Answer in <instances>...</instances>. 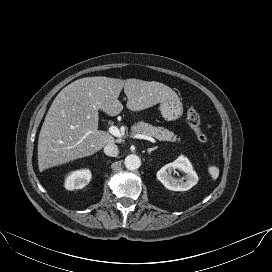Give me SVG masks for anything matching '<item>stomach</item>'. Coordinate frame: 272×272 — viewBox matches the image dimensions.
<instances>
[{
    "label": "stomach",
    "mask_w": 272,
    "mask_h": 272,
    "mask_svg": "<svg viewBox=\"0 0 272 272\" xmlns=\"http://www.w3.org/2000/svg\"><path fill=\"white\" fill-rule=\"evenodd\" d=\"M159 109L162 117L167 121H175L183 115V105L179 99L164 101Z\"/></svg>",
    "instance_id": "1"
}]
</instances>
